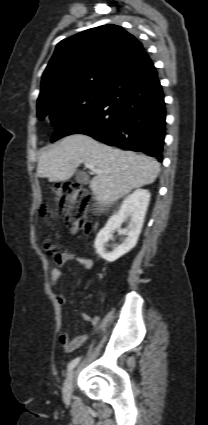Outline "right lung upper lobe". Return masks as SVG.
<instances>
[{"label":"right lung upper lobe","mask_w":208,"mask_h":425,"mask_svg":"<svg viewBox=\"0 0 208 425\" xmlns=\"http://www.w3.org/2000/svg\"><path fill=\"white\" fill-rule=\"evenodd\" d=\"M145 55L141 42L114 24L66 38L56 46L42 75L37 102L83 89H106Z\"/></svg>","instance_id":"1"}]
</instances>
